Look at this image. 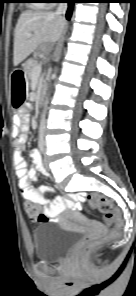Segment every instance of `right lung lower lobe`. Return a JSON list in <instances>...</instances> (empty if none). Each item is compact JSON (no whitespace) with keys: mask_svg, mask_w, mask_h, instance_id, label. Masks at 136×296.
<instances>
[{"mask_svg":"<svg viewBox=\"0 0 136 296\" xmlns=\"http://www.w3.org/2000/svg\"><path fill=\"white\" fill-rule=\"evenodd\" d=\"M67 3H68V5H69V7H68V11H67V14H66V17H67V19L69 20L70 19V17H71V14H72V8H73V4L75 3V2H77L76 0H65Z\"/></svg>","mask_w":136,"mask_h":296,"instance_id":"obj_1","label":"right lung lower lobe"}]
</instances>
